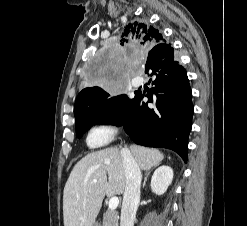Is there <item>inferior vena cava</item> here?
<instances>
[{"label": "inferior vena cava", "instance_id": "1", "mask_svg": "<svg viewBox=\"0 0 247 226\" xmlns=\"http://www.w3.org/2000/svg\"><path fill=\"white\" fill-rule=\"evenodd\" d=\"M126 187L123 195L120 226H133L136 211L140 202L141 171L128 149H122Z\"/></svg>", "mask_w": 247, "mask_h": 226}]
</instances>
